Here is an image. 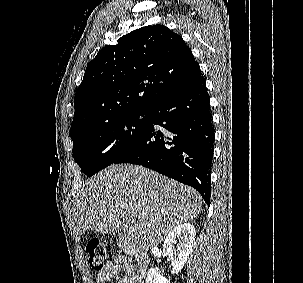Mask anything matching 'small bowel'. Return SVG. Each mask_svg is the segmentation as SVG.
Wrapping results in <instances>:
<instances>
[{"label": "small bowel", "instance_id": "small-bowel-1", "mask_svg": "<svg viewBox=\"0 0 303 283\" xmlns=\"http://www.w3.org/2000/svg\"><path fill=\"white\" fill-rule=\"evenodd\" d=\"M121 271L124 274H121ZM144 283L139 271H136L134 261L130 257L116 256L107 262L104 269L96 276V283Z\"/></svg>", "mask_w": 303, "mask_h": 283}]
</instances>
